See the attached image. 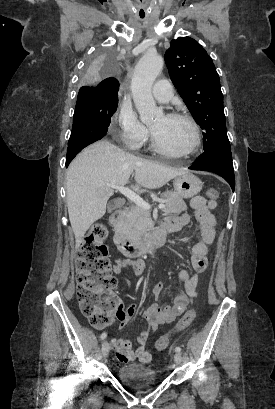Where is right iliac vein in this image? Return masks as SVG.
<instances>
[{
	"label": "right iliac vein",
	"mask_w": 275,
	"mask_h": 409,
	"mask_svg": "<svg viewBox=\"0 0 275 409\" xmlns=\"http://www.w3.org/2000/svg\"><path fill=\"white\" fill-rule=\"evenodd\" d=\"M101 350H102V355L104 357H107L108 354H109V351H110V346H109V343L107 341H104L102 343V349Z\"/></svg>",
	"instance_id": "right-iliac-vein-1"
}]
</instances>
